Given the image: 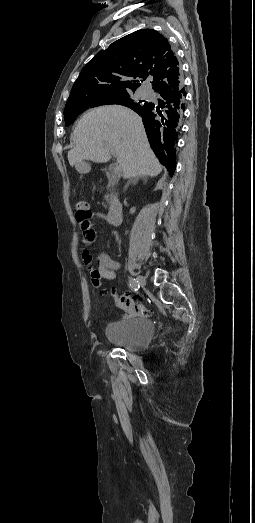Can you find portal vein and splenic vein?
<instances>
[{
    "label": "portal vein and splenic vein",
    "mask_w": 255,
    "mask_h": 523,
    "mask_svg": "<svg viewBox=\"0 0 255 523\" xmlns=\"http://www.w3.org/2000/svg\"><path fill=\"white\" fill-rule=\"evenodd\" d=\"M112 154H114V152H112ZM114 156H115V154H114ZM112 173L114 175H118L120 173V167L118 166V163H113Z\"/></svg>",
    "instance_id": "18ae733b"
}]
</instances>
